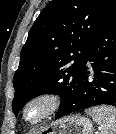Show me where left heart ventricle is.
Wrapping results in <instances>:
<instances>
[{"instance_id": "obj_1", "label": "left heart ventricle", "mask_w": 116, "mask_h": 134, "mask_svg": "<svg viewBox=\"0 0 116 134\" xmlns=\"http://www.w3.org/2000/svg\"><path fill=\"white\" fill-rule=\"evenodd\" d=\"M36 113H37L36 111H33V112H31V114H30V115H31V116H35V115H36Z\"/></svg>"}]
</instances>
